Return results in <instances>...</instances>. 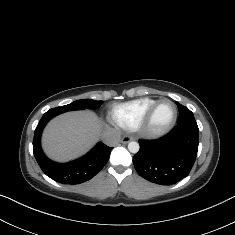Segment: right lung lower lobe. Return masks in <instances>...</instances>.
<instances>
[{
  "mask_svg": "<svg viewBox=\"0 0 235 235\" xmlns=\"http://www.w3.org/2000/svg\"><path fill=\"white\" fill-rule=\"evenodd\" d=\"M56 115L58 114L50 109L39 121L33 139L34 156L42 171L51 179L66 184L86 182L93 178L107 163L112 148L99 142L89 153L77 160L64 164L51 161L44 155L40 139L43 128Z\"/></svg>",
  "mask_w": 235,
  "mask_h": 235,
  "instance_id": "obj_1",
  "label": "right lung lower lobe"
}]
</instances>
